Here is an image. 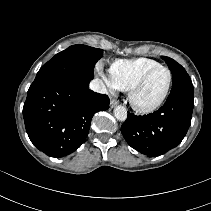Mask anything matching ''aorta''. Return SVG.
Wrapping results in <instances>:
<instances>
[{"label": "aorta", "instance_id": "aorta-1", "mask_svg": "<svg viewBox=\"0 0 211 211\" xmlns=\"http://www.w3.org/2000/svg\"><path fill=\"white\" fill-rule=\"evenodd\" d=\"M114 116L119 121H124L127 118V110L124 106L118 105L114 108Z\"/></svg>", "mask_w": 211, "mask_h": 211}]
</instances>
